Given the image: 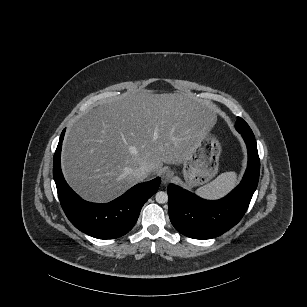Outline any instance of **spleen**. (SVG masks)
I'll return each mask as SVG.
<instances>
[{"mask_svg":"<svg viewBox=\"0 0 307 307\" xmlns=\"http://www.w3.org/2000/svg\"><path fill=\"white\" fill-rule=\"evenodd\" d=\"M238 184V173L229 171L221 174L209 185L195 190V195L203 200L217 201L228 195Z\"/></svg>","mask_w":307,"mask_h":307,"instance_id":"obj_1","label":"spleen"}]
</instances>
